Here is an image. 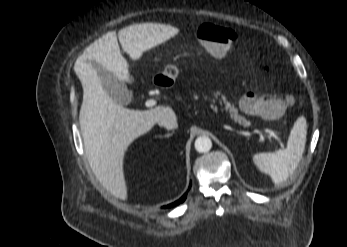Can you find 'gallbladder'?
<instances>
[{
    "label": "gallbladder",
    "instance_id": "1",
    "mask_svg": "<svg viewBox=\"0 0 347 247\" xmlns=\"http://www.w3.org/2000/svg\"><path fill=\"white\" fill-rule=\"evenodd\" d=\"M92 64L101 79L104 91L118 104L130 103L132 92L127 89L125 83L95 62Z\"/></svg>",
    "mask_w": 347,
    "mask_h": 247
}]
</instances>
